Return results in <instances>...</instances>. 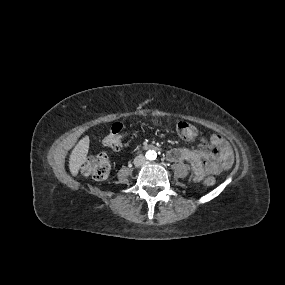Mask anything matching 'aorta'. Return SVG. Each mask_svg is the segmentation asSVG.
Masks as SVG:
<instances>
[{"label": "aorta", "instance_id": "aorta-1", "mask_svg": "<svg viewBox=\"0 0 285 285\" xmlns=\"http://www.w3.org/2000/svg\"><path fill=\"white\" fill-rule=\"evenodd\" d=\"M146 158L148 160H155L157 158V153L155 150H148L146 152Z\"/></svg>", "mask_w": 285, "mask_h": 285}]
</instances>
